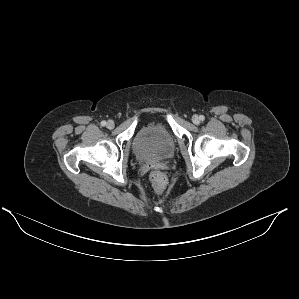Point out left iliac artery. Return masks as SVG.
<instances>
[{
  "mask_svg": "<svg viewBox=\"0 0 299 299\" xmlns=\"http://www.w3.org/2000/svg\"><path fill=\"white\" fill-rule=\"evenodd\" d=\"M199 119H200L201 121H204V120H205V117H204L203 115H200Z\"/></svg>",
  "mask_w": 299,
  "mask_h": 299,
  "instance_id": "1",
  "label": "left iliac artery"
}]
</instances>
